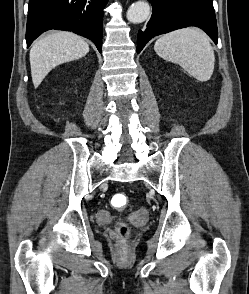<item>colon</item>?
I'll list each match as a JSON object with an SVG mask.
<instances>
[{"instance_id": "5ec220e1", "label": "colon", "mask_w": 249, "mask_h": 294, "mask_svg": "<svg viewBox=\"0 0 249 294\" xmlns=\"http://www.w3.org/2000/svg\"><path fill=\"white\" fill-rule=\"evenodd\" d=\"M116 206H125L129 202V198L125 194H116L112 198ZM117 235L120 241L125 242L130 235V227L126 223H121L117 228Z\"/></svg>"}]
</instances>
